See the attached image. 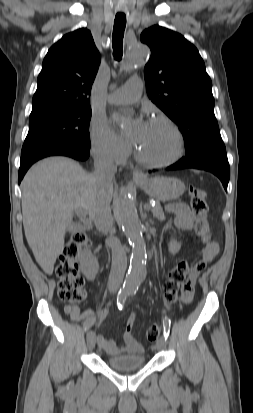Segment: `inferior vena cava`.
I'll return each mask as SVG.
<instances>
[{"label":"inferior vena cava","instance_id":"inferior-vena-cava-1","mask_svg":"<svg viewBox=\"0 0 253 413\" xmlns=\"http://www.w3.org/2000/svg\"><path fill=\"white\" fill-rule=\"evenodd\" d=\"M94 167L93 177L97 187L102 193V197L94 213V222L100 232L104 234L111 233V236L106 240L107 245L112 249V265L108 288L109 291L114 292L120 287L127 268L125 250L120 241L112 236L114 221L111 215L110 203L105 196L106 190L111 185L112 178L117 171V166L114 164L113 158L110 155L98 153L94 156Z\"/></svg>","mask_w":253,"mask_h":413}]
</instances>
